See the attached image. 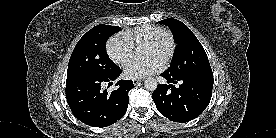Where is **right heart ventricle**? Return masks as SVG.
Wrapping results in <instances>:
<instances>
[{"label":"right heart ventricle","instance_id":"right-heart-ventricle-1","mask_svg":"<svg viewBox=\"0 0 276 138\" xmlns=\"http://www.w3.org/2000/svg\"><path fill=\"white\" fill-rule=\"evenodd\" d=\"M162 30L164 29L158 25H142L131 30L124 31L122 36L133 47H140Z\"/></svg>","mask_w":276,"mask_h":138}]
</instances>
